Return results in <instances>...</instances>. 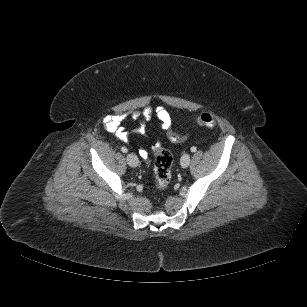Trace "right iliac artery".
Listing matches in <instances>:
<instances>
[{
    "mask_svg": "<svg viewBox=\"0 0 307 307\" xmlns=\"http://www.w3.org/2000/svg\"><path fill=\"white\" fill-rule=\"evenodd\" d=\"M121 151H122L123 153H126L128 150H127L126 147H122V148H121Z\"/></svg>",
    "mask_w": 307,
    "mask_h": 307,
    "instance_id": "obj_1",
    "label": "right iliac artery"
}]
</instances>
